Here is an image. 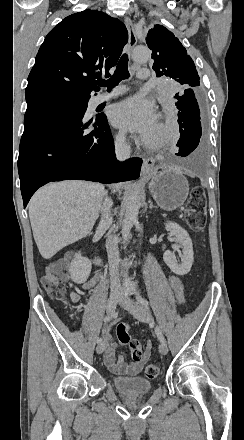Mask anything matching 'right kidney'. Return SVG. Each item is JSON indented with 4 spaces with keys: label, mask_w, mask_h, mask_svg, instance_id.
I'll return each instance as SVG.
<instances>
[{
    "label": "right kidney",
    "mask_w": 244,
    "mask_h": 440,
    "mask_svg": "<svg viewBox=\"0 0 244 440\" xmlns=\"http://www.w3.org/2000/svg\"><path fill=\"white\" fill-rule=\"evenodd\" d=\"M70 278L75 284H84L91 272V262L88 258H83L80 252L76 254L73 262L69 266Z\"/></svg>",
    "instance_id": "right-kidney-1"
}]
</instances>
